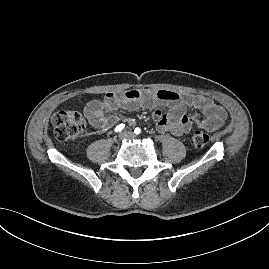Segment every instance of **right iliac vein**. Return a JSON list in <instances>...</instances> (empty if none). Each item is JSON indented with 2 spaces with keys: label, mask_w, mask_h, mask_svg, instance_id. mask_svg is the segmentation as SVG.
<instances>
[{
  "label": "right iliac vein",
  "mask_w": 269,
  "mask_h": 269,
  "mask_svg": "<svg viewBox=\"0 0 269 269\" xmlns=\"http://www.w3.org/2000/svg\"><path fill=\"white\" fill-rule=\"evenodd\" d=\"M124 136H123V134L122 133H120L119 134V138H123Z\"/></svg>",
  "instance_id": "1"
}]
</instances>
